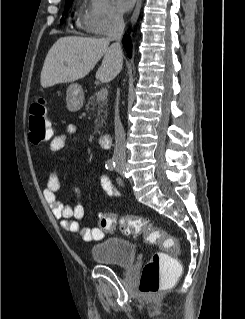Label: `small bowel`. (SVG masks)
<instances>
[{"instance_id":"small-bowel-1","label":"small bowel","mask_w":245,"mask_h":319,"mask_svg":"<svg viewBox=\"0 0 245 319\" xmlns=\"http://www.w3.org/2000/svg\"><path fill=\"white\" fill-rule=\"evenodd\" d=\"M76 132L77 127L75 125H68L51 140L49 150L51 152H58ZM100 184L108 197L115 198L119 195L106 174L100 175ZM60 187L61 181L59 175L56 171H52L48 176L43 196L54 217L60 220L61 227L68 232L79 233L87 242L103 239L105 231L100 227H90L80 230L78 221L84 216L85 212L81 202V189L77 186L71 187L76 198L75 203L71 204L69 202H61L57 199Z\"/></svg>"}]
</instances>
